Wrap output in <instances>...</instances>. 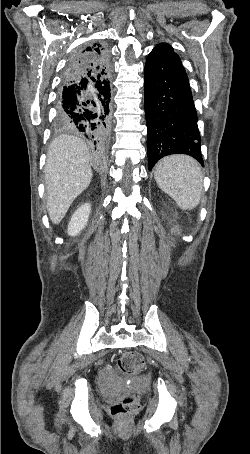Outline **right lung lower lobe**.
<instances>
[{
	"instance_id": "right-lung-lower-lobe-1",
	"label": "right lung lower lobe",
	"mask_w": 250,
	"mask_h": 454,
	"mask_svg": "<svg viewBox=\"0 0 250 454\" xmlns=\"http://www.w3.org/2000/svg\"><path fill=\"white\" fill-rule=\"evenodd\" d=\"M97 54L102 56L101 62H108V51L98 42L77 50L69 61L57 95V120L104 149L110 135V68L96 73L85 64ZM78 62L85 66L70 73Z\"/></svg>"
}]
</instances>
